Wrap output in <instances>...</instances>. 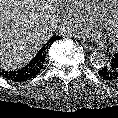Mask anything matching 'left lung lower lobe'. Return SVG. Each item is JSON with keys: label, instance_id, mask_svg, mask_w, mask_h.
Here are the masks:
<instances>
[{"label": "left lung lower lobe", "instance_id": "left-lung-lower-lobe-1", "mask_svg": "<svg viewBox=\"0 0 118 118\" xmlns=\"http://www.w3.org/2000/svg\"><path fill=\"white\" fill-rule=\"evenodd\" d=\"M98 74L103 80L118 83V53L109 55V59L105 66L100 68Z\"/></svg>", "mask_w": 118, "mask_h": 118}]
</instances>
